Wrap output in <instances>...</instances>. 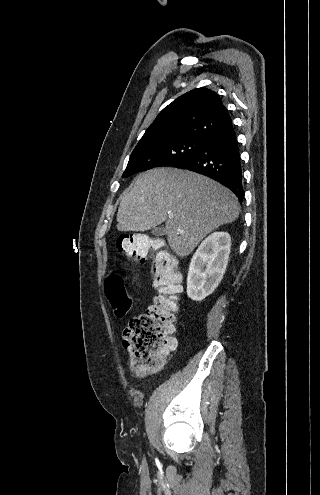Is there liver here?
I'll return each instance as SVG.
<instances>
[{
	"instance_id": "1",
	"label": "liver",
	"mask_w": 320,
	"mask_h": 495,
	"mask_svg": "<svg viewBox=\"0 0 320 495\" xmlns=\"http://www.w3.org/2000/svg\"><path fill=\"white\" fill-rule=\"evenodd\" d=\"M239 211L237 197L221 184L189 171L158 168L139 175L123 194L117 230L147 231L165 222L171 249L184 257L207 234L235 221Z\"/></svg>"
}]
</instances>
